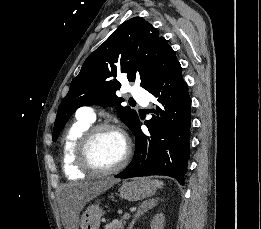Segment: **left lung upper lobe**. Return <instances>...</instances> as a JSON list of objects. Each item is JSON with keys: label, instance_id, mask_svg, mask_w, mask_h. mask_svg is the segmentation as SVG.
I'll return each mask as SVG.
<instances>
[{"label": "left lung upper lobe", "instance_id": "left-lung-upper-lobe-1", "mask_svg": "<svg viewBox=\"0 0 261 229\" xmlns=\"http://www.w3.org/2000/svg\"><path fill=\"white\" fill-rule=\"evenodd\" d=\"M177 63L175 52L151 24L141 17L125 21L88 56L72 80L58 108L53 141L79 107L92 104L116 105L119 117L133 131L138 115L120 105L124 100L115 94L120 86L115 77L140 79L141 86L148 89Z\"/></svg>", "mask_w": 261, "mask_h": 229}]
</instances>
